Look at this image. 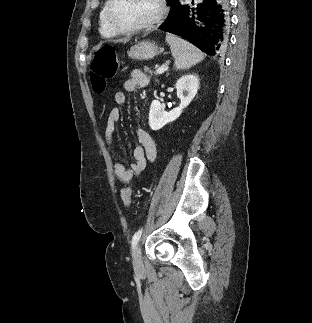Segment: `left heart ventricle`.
Returning <instances> with one entry per match:
<instances>
[{"mask_svg": "<svg viewBox=\"0 0 312 323\" xmlns=\"http://www.w3.org/2000/svg\"><path fill=\"white\" fill-rule=\"evenodd\" d=\"M112 18L121 22H144L148 14H159V3L155 0H115L111 9Z\"/></svg>", "mask_w": 312, "mask_h": 323, "instance_id": "obj_1", "label": "left heart ventricle"}]
</instances>
